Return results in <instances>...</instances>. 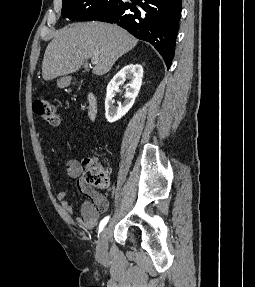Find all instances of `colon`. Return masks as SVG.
Here are the masks:
<instances>
[{"instance_id":"colon-1","label":"colon","mask_w":255,"mask_h":287,"mask_svg":"<svg viewBox=\"0 0 255 287\" xmlns=\"http://www.w3.org/2000/svg\"><path fill=\"white\" fill-rule=\"evenodd\" d=\"M33 111L42 117L50 126L59 127L61 119L55 106L46 99L38 98L33 102ZM85 182L93 188L105 189L109 184L107 170L94 158H86Z\"/></svg>"}]
</instances>
